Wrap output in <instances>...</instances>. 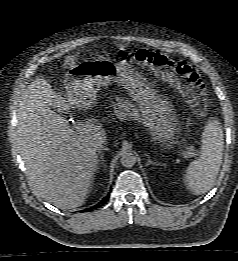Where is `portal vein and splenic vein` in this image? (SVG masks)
Returning <instances> with one entry per match:
<instances>
[{
	"label": "portal vein and splenic vein",
	"mask_w": 238,
	"mask_h": 261,
	"mask_svg": "<svg viewBox=\"0 0 238 261\" xmlns=\"http://www.w3.org/2000/svg\"><path fill=\"white\" fill-rule=\"evenodd\" d=\"M96 129H97V126L90 122H81V123L77 124V126H76V130L80 134H87V133L95 131ZM179 151L186 158L196 156V154L193 152H187V151H183V150H179Z\"/></svg>",
	"instance_id": "18ae733b"
}]
</instances>
